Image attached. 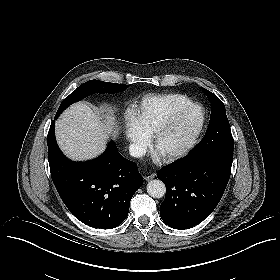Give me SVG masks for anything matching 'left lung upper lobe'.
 Returning a JSON list of instances; mask_svg holds the SVG:
<instances>
[{
  "instance_id": "1",
  "label": "left lung upper lobe",
  "mask_w": 280,
  "mask_h": 280,
  "mask_svg": "<svg viewBox=\"0 0 280 280\" xmlns=\"http://www.w3.org/2000/svg\"><path fill=\"white\" fill-rule=\"evenodd\" d=\"M211 105L209 126L201 142L192 150L190 157L224 155L233 158L234 140L226 116L225 106L213 93L202 88Z\"/></svg>"
}]
</instances>
